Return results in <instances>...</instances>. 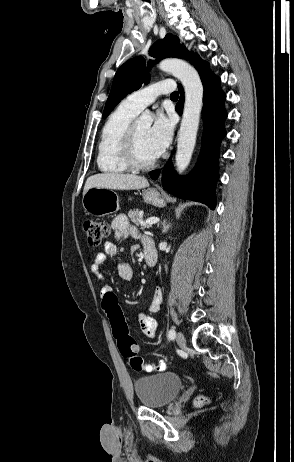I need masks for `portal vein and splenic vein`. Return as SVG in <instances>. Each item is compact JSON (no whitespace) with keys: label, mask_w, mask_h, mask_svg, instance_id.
I'll return each mask as SVG.
<instances>
[{"label":"portal vein and splenic vein","mask_w":294,"mask_h":462,"mask_svg":"<svg viewBox=\"0 0 294 462\" xmlns=\"http://www.w3.org/2000/svg\"><path fill=\"white\" fill-rule=\"evenodd\" d=\"M159 222V219L158 218H155V217H152V218H148L146 221H145V225L147 226H150V225H153V224H156Z\"/></svg>","instance_id":"portal-vein-and-splenic-vein-1"}]
</instances>
